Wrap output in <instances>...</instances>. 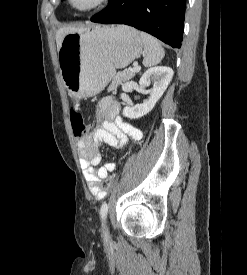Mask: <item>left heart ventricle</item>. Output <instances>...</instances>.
<instances>
[{
	"mask_svg": "<svg viewBox=\"0 0 247 275\" xmlns=\"http://www.w3.org/2000/svg\"><path fill=\"white\" fill-rule=\"evenodd\" d=\"M95 0H73V5L78 8H85L94 3Z\"/></svg>",
	"mask_w": 247,
	"mask_h": 275,
	"instance_id": "left-heart-ventricle-1",
	"label": "left heart ventricle"
}]
</instances>
